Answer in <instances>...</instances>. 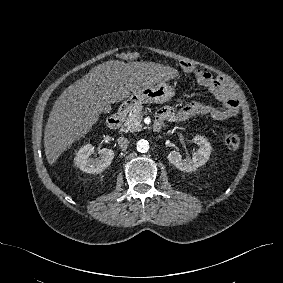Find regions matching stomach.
I'll use <instances>...</instances> for the list:
<instances>
[{
	"label": "stomach",
	"instance_id": "stomach-1",
	"mask_svg": "<svg viewBox=\"0 0 283 283\" xmlns=\"http://www.w3.org/2000/svg\"><path fill=\"white\" fill-rule=\"evenodd\" d=\"M175 95L174 89L164 81L132 93L122 104L121 109L129 112L144 103L162 104Z\"/></svg>",
	"mask_w": 283,
	"mask_h": 283
}]
</instances>
